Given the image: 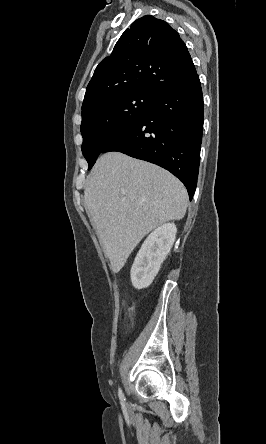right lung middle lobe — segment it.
<instances>
[{
	"label": "right lung middle lobe",
	"mask_w": 266,
	"mask_h": 444,
	"mask_svg": "<svg viewBox=\"0 0 266 444\" xmlns=\"http://www.w3.org/2000/svg\"><path fill=\"white\" fill-rule=\"evenodd\" d=\"M156 94L125 91L98 100L82 111V153L91 169L105 146L151 110Z\"/></svg>",
	"instance_id": "dd1d6c3e"
}]
</instances>
